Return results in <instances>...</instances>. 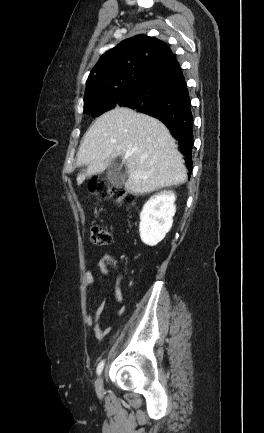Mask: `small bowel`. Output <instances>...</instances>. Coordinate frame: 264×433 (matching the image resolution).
<instances>
[{
	"instance_id": "c3829d8e",
	"label": "small bowel",
	"mask_w": 264,
	"mask_h": 433,
	"mask_svg": "<svg viewBox=\"0 0 264 433\" xmlns=\"http://www.w3.org/2000/svg\"><path fill=\"white\" fill-rule=\"evenodd\" d=\"M112 253H113V250H109L105 253V255L103 257H101L99 259L98 265L100 268L103 269L105 267V258L108 257L109 255H111ZM84 281H85L86 285H88V286L92 285L94 283V276H93V273L91 271H87L85 273ZM120 284H121V278H118L116 281V287H115V298L119 304H121L123 302V293L121 291ZM104 307H105V303L102 300L99 303L96 311L92 314L87 315V318H86L87 324L94 327V334H95V337L97 340H102L111 331L110 327L102 326L100 324V316L103 313ZM123 312H124L123 307H120L117 311L118 315L123 314Z\"/></svg>"
}]
</instances>
